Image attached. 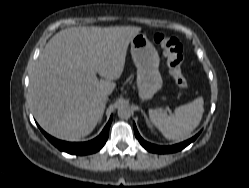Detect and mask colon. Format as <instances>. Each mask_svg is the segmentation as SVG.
Segmentation results:
<instances>
[{
	"mask_svg": "<svg viewBox=\"0 0 249 188\" xmlns=\"http://www.w3.org/2000/svg\"><path fill=\"white\" fill-rule=\"evenodd\" d=\"M153 41L163 50L167 67L178 87L188 89L189 83L182 73L183 46L181 42L177 38L163 33H156Z\"/></svg>",
	"mask_w": 249,
	"mask_h": 188,
	"instance_id": "obj_1",
	"label": "colon"
}]
</instances>
